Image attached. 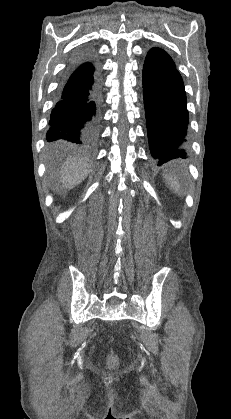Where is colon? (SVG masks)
Segmentation results:
<instances>
[{
    "label": "colon",
    "instance_id": "colon-1",
    "mask_svg": "<svg viewBox=\"0 0 231 419\" xmlns=\"http://www.w3.org/2000/svg\"><path fill=\"white\" fill-rule=\"evenodd\" d=\"M110 362H111V363H115V362H116L115 357H111V358H110Z\"/></svg>",
    "mask_w": 231,
    "mask_h": 419
}]
</instances>
